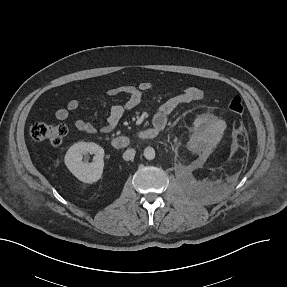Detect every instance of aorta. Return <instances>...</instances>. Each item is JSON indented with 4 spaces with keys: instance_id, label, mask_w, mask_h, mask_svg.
Returning <instances> with one entry per match:
<instances>
[{
    "instance_id": "aorta-1",
    "label": "aorta",
    "mask_w": 287,
    "mask_h": 287,
    "mask_svg": "<svg viewBox=\"0 0 287 287\" xmlns=\"http://www.w3.org/2000/svg\"><path fill=\"white\" fill-rule=\"evenodd\" d=\"M144 157L147 160H153L155 158V150L152 147L145 148Z\"/></svg>"
}]
</instances>
